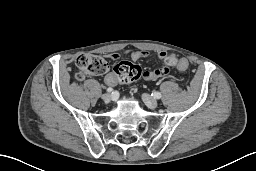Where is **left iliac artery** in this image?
I'll list each match as a JSON object with an SVG mask.
<instances>
[{
  "mask_svg": "<svg viewBox=\"0 0 256 171\" xmlns=\"http://www.w3.org/2000/svg\"><path fill=\"white\" fill-rule=\"evenodd\" d=\"M152 96H154V98H156V99H160L162 97L161 93H159V92L152 93Z\"/></svg>",
  "mask_w": 256,
  "mask_h": 171,
  "instance_id": "1",
  "label": "left iliac artery"
}]
</instances>
